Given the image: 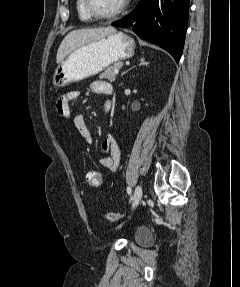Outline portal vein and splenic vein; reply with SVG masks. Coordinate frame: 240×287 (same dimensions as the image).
I'll list each match as a JSON object with an SVG mask.
<instances>
[{"instance_id": "obj_1", "label": "portal vein and splenic vein", "mask_w": 240, "mask_h": 287, "mask_svg": "<svg viewBox=\"0 0 240 287\" xmlns=\"http://www.w3.org/2000/svg\"><path fill=\"white\" fill-rule=\"evenodd\" d=\"M118 72H119V70H118V69H116V70L114 71V73H116V74H118Z\"/></svg>"}]
</instances>
